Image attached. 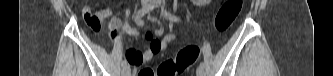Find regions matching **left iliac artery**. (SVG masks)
<instances>
[{
  "mask_svg": "<svg viewBox=\"0 0 333 76\" xmlns=\"http://www.w3.org/2000/svg\"><path fill=\"white\" fill-rule=\"evenodd\" d=\"M162 13H163V15H164V17H165L166 19H169V20H171V21H179V18H178L177 16L172 15V14H171L170 12H168L167 10H164V9H163ZM199 67H200V68H204V67H205L204 63L201 62L200 65H199Z\"/></svg>",
  "mask_w": 333,
  "mask_h": 76,
  "instance_id": "obj_1",
  "label": "left iliac artery"
}]
</instances>
